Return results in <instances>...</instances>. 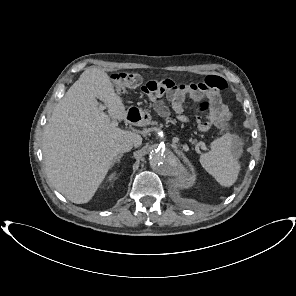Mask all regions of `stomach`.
I'll use <instances>...</instances> for the list:
<instances>
[{"instance_id":"obj_1","label":"stomach","mask_w":296,"mask_h":296,"mask_svg":"<svg viewBox=\"0 0 296 296\" xmlns=\"http://www.w3.org/2000/svg\"><path fill=\"white\" fill-rule=\"evenodd\" d=\"M138 115L140 117V119L138 121L140 124H148V123H150L151 115L148 112L138 109Z\"/></svg>"}]
</instances>
